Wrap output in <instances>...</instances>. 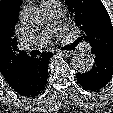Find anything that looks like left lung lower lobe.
I'll list each match as a JSON object with an SVG mask.
<instances>
[{
	"mask_svg": "<svg viewBox=\"0 0 113 113\" xmlns=\"http://www.w3.org/2000/svg\"><path fill=\"white\" fill-rule=\"evenodd\" d=\"M91 53L95 61L92 69L86 73H77L76 77L84 89L96 91L104 87L113 75V52L92 47Z\"/></svg>",
	"mask_w": 113,
	"mask_h": 113,
	"instance_id": "0a47b994",
	"label": "left lung lower lobe"
}]
</instances>
